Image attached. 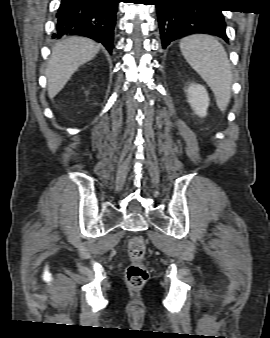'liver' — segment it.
Returning <instances> with one entry per match:
<instances>
[{
  "label": "liver",
  "mask_w": 270,
  "mask_h": 338,
  "mask_svg": "<svg viewBox=\"0 0 270 338\" xmlns=\"http://www.w3.org/2000/svg\"><path fill=\"white\" fill-rule=\"evenodd\" d=\"M100 45L91 39L70 37L56 43L46 69L48 96L54 98L66 85L74 72L92 60Z\"/></svg>",
  "instance_id": "obj_1"
}]
</instances>
